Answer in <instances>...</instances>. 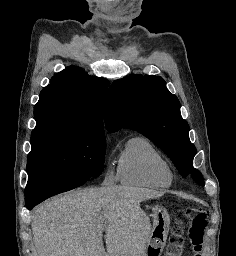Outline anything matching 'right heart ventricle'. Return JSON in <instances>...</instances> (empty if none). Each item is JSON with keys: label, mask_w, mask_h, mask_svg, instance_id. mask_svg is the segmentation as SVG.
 Here are the masks:
<instances>
[{"label": "right heart ventricle", "mask_w": 236, "mask_h": 256, "mask_svg": "<svg viewBox=\"0 0 236 256\" xmlns=\"http://www.w3.org/2000/svg\"><path fill=\"white\" fill-rule=\"evenodd\" d=\"M117 172L120 183L131 187L163 189L173 182L168 159L141 136L128 140Z\"/></svg>", "instance_id": "1"}]
</instances>
